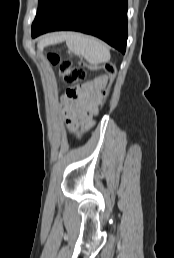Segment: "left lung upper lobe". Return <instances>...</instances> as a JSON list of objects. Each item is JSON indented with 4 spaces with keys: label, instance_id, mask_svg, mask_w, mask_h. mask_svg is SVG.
Returning a JSON list of instances; mask_svg holds the SVG:
<instances>
[{
    "label": "left lung upper lobe",
    "instance_id": "obj_1",
    "mask_svg": "<svg viewBox=\"0 0 174 258\" xmlns=\"http://www.w3.org/2000/svg\"><path fill=\"white\" fill-rule=\"evenodd\" d=\"M56 2L57 0H39L37 14L32 24V31L38 28Z\"/></svg>",
    "mask_w": 174,
    "mask_h": 258
}]
</instances>
